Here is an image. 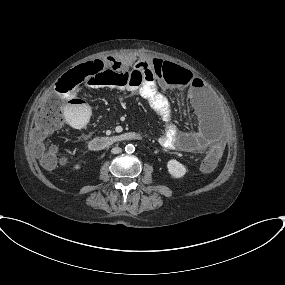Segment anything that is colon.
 <instances>
[{"label": "colon", "mask_w": 285, "mask_h": 285, "mask_svg": "<svg viewBox=\"0 0 285 285\" xmlns=\"http://www.w3.org/2000/svg\"><path fill=\"white\" fill-rule=\"evenodd\" d=\"M185 69L165 63L159 72L160 77H168L173 73H184ZM93 79L101 80L106 86L127 91L139 92L143 86L144 74L139 69L121 70L118 64L106 60H92L77 66L66 72L60 80V94L53 93L44 101L41 109L34 115L31 122L30 138L35 152L40 155L42 166L51 169L60 164L56 154L50 150L47 144L49 135L60 129L66 122L63 98L73 94L74 88L81 83ZM70 81L69 85L63 87V81ZM88 120H82L83 127ZM221 156V152L215 150L202 162L201 168L204 172L212 171Z\"/></svg>", "instance_id": "obj_1"}]
</instances>
